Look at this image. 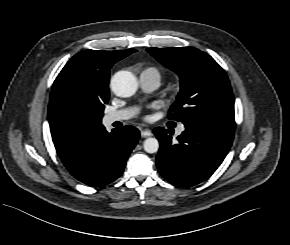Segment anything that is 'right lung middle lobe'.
Here are the masks:
<instances>
[{"mask_svg":"<svg viewBox=\"0 0 290 245\" xmlns=\"http://www.w3.org/2000/svg\"><path fill=\"white\" fill-rule=\"evenodd\" d=\"M75 93L88 100L89 107L100 117L103 115L104 104L108 102L109 93L100 94L96 87L90 88L85 83L74 86Z\"/></svg>","mask_w":290,"mask_h":245,"instance_id":"dd1d6c3e","label":"right lung middle lobe"}]
</instances>
